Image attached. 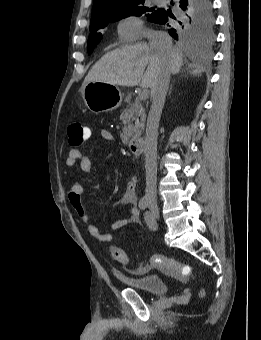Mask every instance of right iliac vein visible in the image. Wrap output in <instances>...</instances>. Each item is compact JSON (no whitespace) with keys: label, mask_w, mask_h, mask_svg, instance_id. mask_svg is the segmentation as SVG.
Here are the masks:
<instances>
[{"label":"right iliac vein","mask_w":261,"mask_h":340,"mask_svg":"<svg viewBox=\"0 0 261 340\" xmlns=\"http://www.w3.org/2000/svg\"><path fill=\"white\" fill-rule=\"evenodd\" d=\"M149 204H150L152 209H155V206H154V204L152 202H149Z\"/></svg>","instance_id":"1"}]
</instances>
